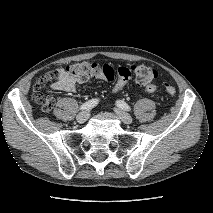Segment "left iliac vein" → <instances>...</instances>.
<instances>
[{
    "mask_svg": "<svg viewBox=\"0 0 213 213\" xmlns=\"http://www.w3.org/2000/svg\"><path fill=\"white\" fill-rule=\"evenodd\" d=\"M114 111L123 123H125V124L132 123L133 119L128 113H126L125 111H123L120 108H115Z\"/></svg>",
    "mask_w": 213,
    "mask_h": 213,
    "instance_id": "4c4485c4",
    "label": "left iliac vein"
}]
</instances>
